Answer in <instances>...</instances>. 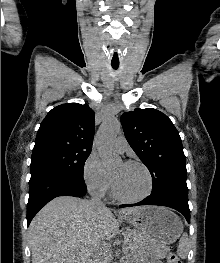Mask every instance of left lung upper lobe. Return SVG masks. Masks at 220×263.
Here are the masks:
<instances>
[{"label":"left lung upper lobe","instance_id":"left-lung-upper-lobe-1","mask_svg":"<svg viewBox=\"0 0 220 263\" xmlns=\"http://www.w3.org/2000/svg\"><path fill=\"white\" fill-rule=\"evenodd\" d=\"M125 137L149 169L151 194L173 193L188 198L186 163L179 132L162 112L135 109L121 116Z\"/></svg>","mask_w":220,"mask_h":263}]
</instances>
